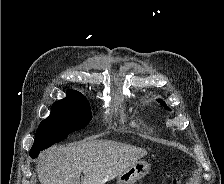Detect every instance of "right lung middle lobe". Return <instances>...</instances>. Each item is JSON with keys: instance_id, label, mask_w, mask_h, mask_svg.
Here are the masks:
<instances>
[{"instance_id": "dd1d6c3e", "label": "right lung middle lobe", "mask_w": 224, "mask_h": 184, "mask_svg": "<svg viewBox=\"0 0 224 184\" xmlns=\"http://www.w3.org/2000/svg\"><path fill=\"white\" fill-rule=\"evenodd\" d=\"M91 119L92 113L86 99L79 102H54L50 116L37 129L30 152L38 155L40 151L61 142L68 134L84 128Z\"/></svg>"}]
</instances>
